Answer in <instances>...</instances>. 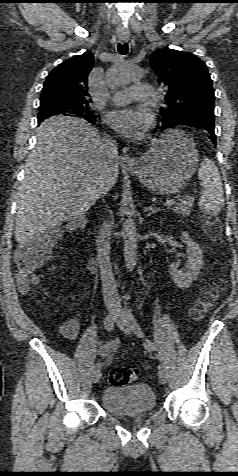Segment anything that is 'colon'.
<instances>
[{"mask_svg": "<svg viewBox=\"0 0 238 476\" xmlns=\"http://www.w3.org/2000/svg\"><path fill=\"white\" fill-rule=\"evenodd\" d=\"M205 233L211 238H217L221 232L220 221L214 216L203 219ZM60 237V230L53 228L43 237L21 243L15 253L17 267V283L21 292H27L37 282V271L51 258L54 246ZM219 295V287L212 288L200 296L191 310L193 320H200L213 306ZM139 376L135 367H120L110 371L109 382L112 385H127L134 383Z\"/></svg>", "mask_w": 238, "mask_h": 476, "instance_id": "5ec220e1", "label": "colon"}]
</instances>
